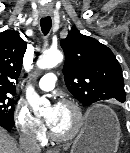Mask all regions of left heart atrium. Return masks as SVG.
Listing matches in <instances>:
<instances>
[{
	"label": "left heart atrium",
	"mask_w": 130,
	"mask_h": 153,
	"mask_svg": "<svg viewBox=\"0 0 130 153\" xmlns=\"http://www.w3.org/2000/svg\"><path fill=\"white\" fill-rule=\"evenodd\" d=\"M58 108H59V105H58V104H54V105L50 108L51 113H50V116L47 118V123L49 124V126L51 125V123H52V121H53V119H54V117H55V114H56Z\"/></svg>",
	"instance_id": "39dd6f15"
}]
</instances>
